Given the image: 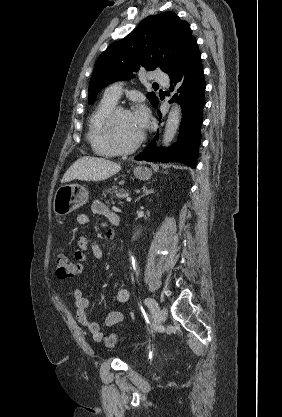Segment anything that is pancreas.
Wrapping results in <instances>:
<instances>
[{
    "mask_svg": "<svg viewBox=\"0 0 282 417\" xmlns=\"http://www.w3.org/2000/svg\"><path fill=\"white\" fill-rule=\"evenodd\" d=\"M128 190H125V188H118V186H112V188H104L103 192H102V196L103 198H107V194H112V196H109L108 200H106V202H108V204H110V200L111 202H114V200H112V198H119L118 200V204H122V198H124V196H122V194H127Z\"/></svg>",
    "mask_w": 282,
    "mask_h": 417,
    "instance_id": "obj_1",
    "label": "pancreas"
}]
</instances>
